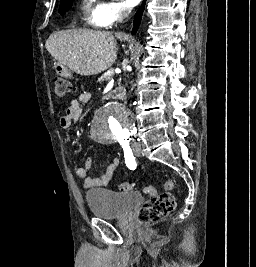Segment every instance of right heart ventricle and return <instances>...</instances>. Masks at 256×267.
Instances as JSON below:
<instances>
[{
    "mask_svg": "<svg viewBox=\"0 0 256 267\" xmlns=\"http://www.w3.org/2000/svg\"><path fill=\"white\" fill-rule=\"evenodd\" d=\"M97 18V12L95 13L93 20H95ZM67 28H72V27H67Z\"/></svg>",
    "mask_w": 256,
    "mask_h": 267,
    "instance_id": "obj_1",
    "label": "right heart ventricle"
}]
</instances>
